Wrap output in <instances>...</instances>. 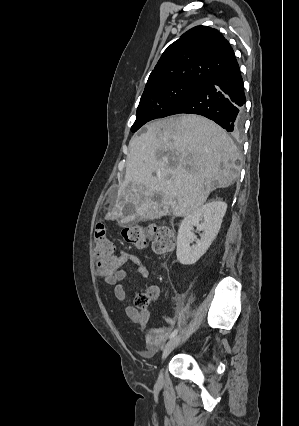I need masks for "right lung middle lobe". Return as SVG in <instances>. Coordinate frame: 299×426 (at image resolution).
Segmentation results:
<instances>
[{"instance_id":"obj_1","label":"right lung middle lobe","mask_w":299,"mask_h":426,"mask_svg":"<svg viewBox=\"0 0 299 426\" xmlns=\"http://www.w3.org/2000/svg\"><path fill=\"white\" fill-rule=\"evenodd\" d=\"M198 87L194 84L174 82L144 90L131 131L135 132L148 121L160 118L168 108Z\"/></svg>"}]
</instances>
